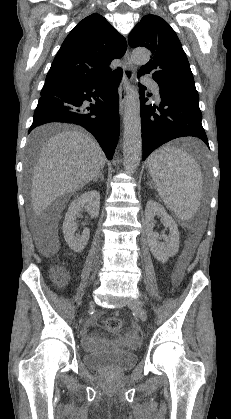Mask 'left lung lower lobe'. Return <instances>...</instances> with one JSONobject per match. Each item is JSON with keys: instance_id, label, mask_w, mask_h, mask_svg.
<instances>
[{"instance_id": "0a47b994", "label": "left lung lower lobe", "mask_w": 231, "mask_h": 419, "mask_svg": "<svg viewBox=\"0 0 231 419\" xmlns=\"http://www.w3.org/2000/svg\"><path fill=\"white\" fill-rule=\"evenodd\" d=\"M140 76V74H138ZM140 86L143 160L160 145L184 136L200 138L208 147V139L202 127L199 95L172 88H160L159 107L145 105L146 87ZM158 110V113H156Z\"/></svg>"}]
</instances>
